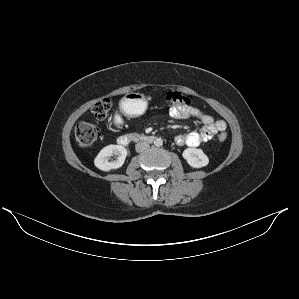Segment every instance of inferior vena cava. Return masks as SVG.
I'll return each mask as SVG.
<instances>
[{"instance_id": "inferior-vena-cava-1", "label": "inferior vena cava", "mask_w": 299, "mask_h": 299, "mask_svg": "<svg viewBox=\"0 0 299 299\" xmlns=\"http://www.w3.org/2000/svg\"><path fill=\"white\" fill-rule=\"evenodd\" d=\"M149 148V144L147 142H139L136 144L135 149L136 152H144Z\"/></svg>"}]
</instances>
